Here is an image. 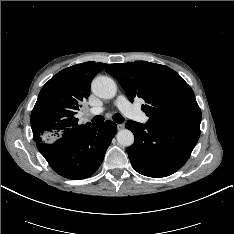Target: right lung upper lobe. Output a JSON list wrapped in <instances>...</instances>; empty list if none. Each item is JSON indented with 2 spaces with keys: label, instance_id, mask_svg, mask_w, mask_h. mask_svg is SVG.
<instances>
[{
  "label": "right lung upper lobe",
  "instance_id": "right-lung-upper-lobe-1",
  "mask_svg": "<svg viewBox=\"0 0 234 234\" xmlns=\"http://www.w3.org/2000/svg\"><path fill=\"white\" fill-rule=\"evenodd\" d=\"M107 64L85 62L66 68L41 89L31 113V128L36 143L51 142L91 125L78 123L76 114L90 94V84Z\"/></svg>",
  "mask_w": 234,
  "mask_h": 234
}]
</instances>
